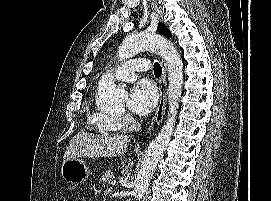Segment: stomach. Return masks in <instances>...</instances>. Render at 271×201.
Wrapping results in <instances>:
<instances>
[{
	"mask_svg": "<svg viewBox=\"0 0 271 201\" xmlns=\"http://www.w3.org/2000/svg\"><path fill=\"white\" fill-rule=\"evenodd\" d=\"M61 174L68 183L76 185L85 182L91 172L83 160L76 158L63 162Z\"/></svg>",
	"mask_w": 271,
	"mask_h": 201,
	"instance_id": "1",
	"label": "stomach"
}]
</instances>
